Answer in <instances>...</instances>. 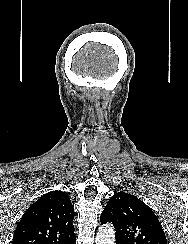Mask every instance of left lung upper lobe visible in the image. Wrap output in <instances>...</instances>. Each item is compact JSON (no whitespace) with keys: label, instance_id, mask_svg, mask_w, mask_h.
<instances>
[{"label":"left lung upper lobe","instance_id":"5c2ea615","mask_svg":"<svg viewBox=\"0 0 188 244\" xmlns=\"http://www.w3.org/2000/svg\"><path fill=\"white\" fill-rule=\"evenodd\" d=\"M100 221L102 224H113L116 244H167L156 215L131 194H114L104 208Z\"/></svg>","mask_w":188,"mask_h":244}]
</instances>
